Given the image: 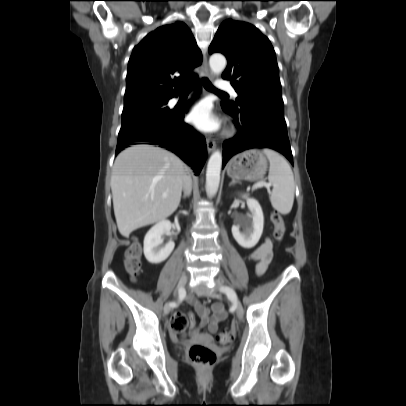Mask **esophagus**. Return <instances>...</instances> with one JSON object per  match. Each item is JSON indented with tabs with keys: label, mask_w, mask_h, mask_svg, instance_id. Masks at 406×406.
I'll use <instances>...</instances> for the list:
<instances>
[{
	"label": "esophagus",
	"mask_w": 406,
	"mask_h": 406,
	"mask_svg": "<svg viewBox=\"0 0 406 406\" xmlns=\"http://www.w3.org/2000/svg\"><path fill=\"white\" fill-rule=\"evenodd\" d=\"M203 65H204V69H205L204 76L208 79H212V73L208 67L207 57L204 58ZM206 144H207V150L209 153L212 152L216 146L215 141L211 138L206 139Z\"/></svg>",
	"instance_id": "1"
}]
</instances>
